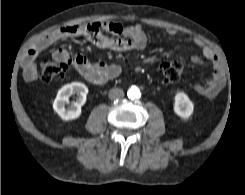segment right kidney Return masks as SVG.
I'll list each match as a JSON object with an SVG mask.
<instances>
[{"label":"right kidney","mask_w":245,"mask_h":195,"mask_svg":"<svg viewBox=\"0 0 245 195\" xmlns=\"http://www.w3.org/2000/svg\"><path fill=\"white\" fill-rule=\"evenodd\" d=\"M73 93L77 94V99L73 104L66 107L69 97ZM87 94L88 88L81 82L64 85L57 93L53 102V109L65 121L76 119L81 115V107L86 102Z\"/></svg>","instance_id":"obj_1"}]
</instances>
